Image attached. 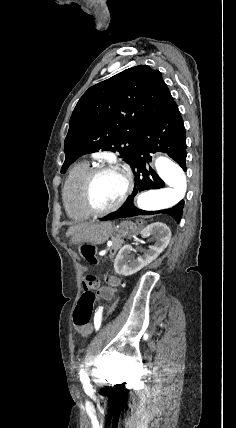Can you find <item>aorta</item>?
<instances>
[{
  "label": "aorta",
  "instance_id": "1",
  "mask_svg": "<svg viewBox=\"0 0 236 428\" xmlns=\"http://www.w3.org/2000/svg\"><path fill=\"white\" fill-rule=\"evenodd\" d=\"M155 168L166 187L149 190L137 198L138 208L144 211H158L172 208L186 193V176L182 168L171 159L160 156L155 160Z\"/></svg>",
  "mask_w": 236,
  "mask_h": 428
}]
</instances>
